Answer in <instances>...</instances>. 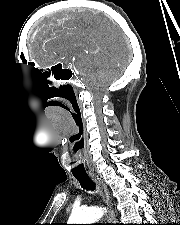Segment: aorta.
I'll return each mask as SVG.
<instances>
[{
	"instance_id": "aorta-1",
	"label": "aorta",
	"mask_w": 180,
	"mask_h": 225,
	"mask_svg": "<svg viewBox=\"0 0 180 225\" xmlns=\"http://www.w3.org/2000/svg\"><path fill=\"white\" fill-rule=\"evenodd\" d=\"M103 215V211L97 207L78 208L72 210L68 224H93Z\"/></svg>"
}]
</instances>
